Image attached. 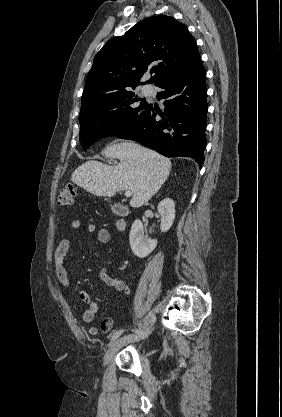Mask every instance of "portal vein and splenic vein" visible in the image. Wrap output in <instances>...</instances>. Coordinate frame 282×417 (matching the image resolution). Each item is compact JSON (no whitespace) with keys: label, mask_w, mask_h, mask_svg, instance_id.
<instances>
[{"label":"portal vein and splenic vein","mask_w":282,"mask_h":417,"mask_svg":"<svg viewBox=\"0 0 282 417\" xmlns=\"http://www.w3.org/2000/svg\"><path fill=\"white\" fill-rule=\"evenodd\" d=\"M132 190H125V196H131Z\"/></svg>","instance_id":"obj_1"}]
</instances>
